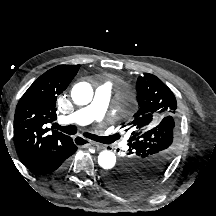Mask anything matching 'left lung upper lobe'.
I'll return each instance as SVG.
<instances>
[{"label":"left lung upper lobe","instance_id":"left-lung-upper-lobe-1","mask_svg":"<svg viewBox=\"0 0 216 216\" xmlns=\"http://www.w3.org/2000/svg\"><path fill=\"white\" fill-rule=\"evenodd\" d=\"M137 110L127 130L128 152L106 174L113 190L132 194L157 181L168 168L177 143L178 112L173 92L155 75L144 73L136 84Z\"/></svg>","mask_w":216,"mask_h":216}]
</instances>
